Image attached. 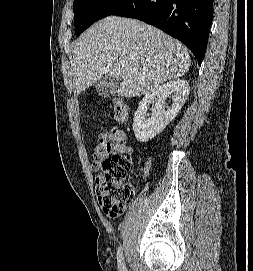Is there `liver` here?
<instances>
[{"instance_id":"6515ba94","label":"liver","mask_w":253,"mask_h":271,"mask_svg":"<svg viewBox=\"0 0 253 271\" xmlns=\"http://www.w3.org/2000/svg\"><path fill=\"white\" fill-rule=\"evenodd\" d=\"M73 52L77 95L111 76L119 81L120 96H141L183 76L191 64L179 41L139 20L116 16L93 24L79 37Z\"/></svg>"}]
</instances>
